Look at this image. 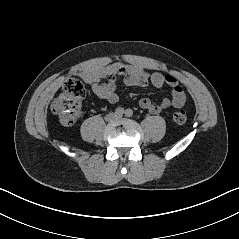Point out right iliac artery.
I'll list each match as a JSON object with an SVG mask.
<instances>
[{
    "label": "right iliac artery",
    "mask_w": 239,
    "mask_h": 239,
    "mask_svg": "<svg viewBox=\"0 0 239 239\" xmlns=\"http://www.w3.org/2000/svg\"><path fill=\"white\" fill-rule=\"evenodd\" d=\"M124 109L122 107H118L116 110H115V114L118 115V116H122L124 114Z\"/></svg>",
    "instance_id": "1"
}]
</instances>
